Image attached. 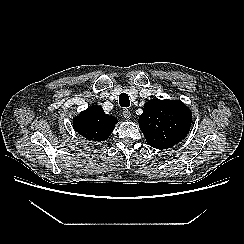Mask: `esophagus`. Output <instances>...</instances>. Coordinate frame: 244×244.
I'll return each mask as SVG.
<instances>
[{"label": "esophagus", "mask_w": 244, "mask_h": 244, "mask_svg": "<svg viewBox=\"0 0 244 244\" xmlns=\"http://www.w3.org/2000/svg\"><path fill=\"white\" fill-rule=\"evenodd\" d=\"M122 114H123L124 118L127 120L131 118V113L128 109H123Z\"/></svg>", "instance_id": "obj_1"}]
</instances>
